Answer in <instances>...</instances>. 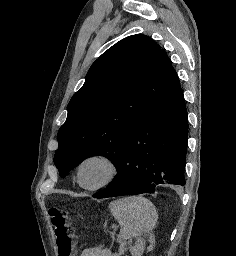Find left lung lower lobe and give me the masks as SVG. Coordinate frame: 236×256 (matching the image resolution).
<instances>
[{
    "label": "left lung lower lobe",
    "mask_w": 236,
    "mask_h": 256,
    "mask_svg": "<svg viewBox=\"0 0 236 256\" xmlns=\"http://www.w3.org/2000/svg\"><path fill=\"white\" fill-rule=\"evenodd\" d=\"M188 117L179 86L134 127L117 175L94 198L154 193L158 184L185 185Z\"/></svg>",
    "instance_id": "0a47b994"
}]
</instances>
